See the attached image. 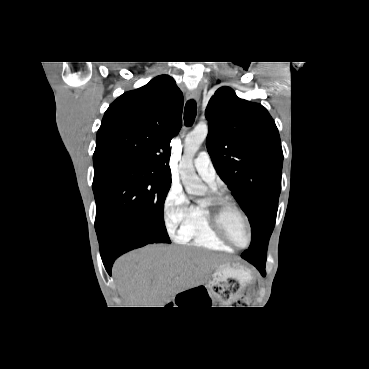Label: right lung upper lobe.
<instances>
[{
	"label": "right lung upper lobe",
	"instance_id": "obj_1",
	"mask_svg": "<svg viewBox=\"0 0 369 369\" xmlns=\"http://www.w3.org/2000/svg\"><path fill=\"white\" fill-rule=\"evenodd\" d=\"M183 95L168 75L126 92L106 110L94 167H131L171 178L170 141L181 128Z\"/></svg>",
	"mask_w": 369,
	"mask_h": 369
}]
</instances>
